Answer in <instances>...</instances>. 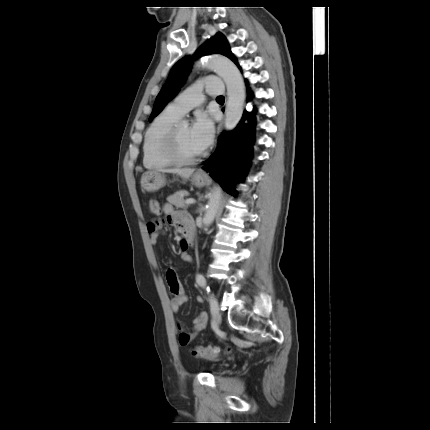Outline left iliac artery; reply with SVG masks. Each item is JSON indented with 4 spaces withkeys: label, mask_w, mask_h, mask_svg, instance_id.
<instances>
[{
    "label": "left iliac artery",
    "mask_w": 430,
    "mask_h": 430,
    "mask_svg": "<svg viewBox=\"0 0 430 430\" xmlns=\"http://www.w3.org/2000/svg\"><path fill=\"white\" fill-rule=\"evenodd\" d=\"M196 281L201 287L206 288V291L208 293L210 292V288L208 286H206V279L204 278V276L202 274H197ZM209 300H210V303H213L215 301L213 296H210Z\"/></svg>",
    "instance_id": "1"
}]
</instances>
